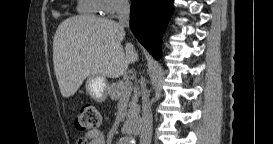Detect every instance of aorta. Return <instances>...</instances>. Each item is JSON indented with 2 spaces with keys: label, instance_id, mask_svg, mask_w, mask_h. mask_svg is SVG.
Returning a JSON list of instances; mask_svg holds the SVG:
<instances>
[{
  "label": "aorta",
  "instance_id": "aorta-1",
  "mask_svg": "<svg viewBox=\"0 0 273 144\" xmlns=\"http://www.w3.org/2000/svg\"><path fill=\"white\" fill-rule=\"evenodd\" d=\"M124 142H125L124 144H130L131 139H130V138H127Z\"/></svg>",
  "mask_w": 273,
  "mask_h": 144
}]
</instances>
